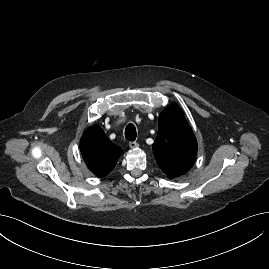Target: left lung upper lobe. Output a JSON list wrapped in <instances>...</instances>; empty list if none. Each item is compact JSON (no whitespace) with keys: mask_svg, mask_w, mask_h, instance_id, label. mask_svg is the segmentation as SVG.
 I'll return each mask as SVG.
<instances>
[{"mask_svg":"<svg viewBox=\"0 0 269 269\" xmlns=\"http://www.w3.org/2000/svg\"><path fill=\"white\" fill-rule=\"evenodd\" d=\"M158 125L153 144L156 162L170 178L181 176L192 167L197 154L192 129L176 105L162 111Z\"/></svg>","mask_w":269,"mask_h":269,"instance_id":"5c2ea615","label":"left lung upper lobe"}]
</instances>
